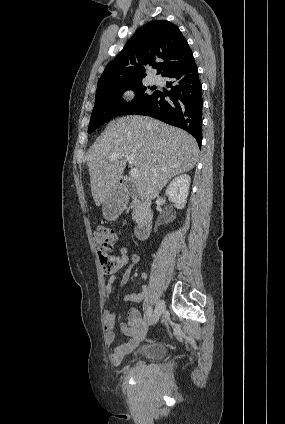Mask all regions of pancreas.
<instances>
[{
    "label": "pancreas",
    "mask_w": 285,
    "mask_h": 424,
    "mask_svg": "<svg viewBox=\"0 0 285 424\" xmlns=\"http://www.w3.org/2000/svg\"><path fill=\"white\" fill-rule=\"evenodd\" d=\"M131 207L134 208V211L132 213V218H133L134 221H137L138 216H139V209L137 207V204L136 203H132Z\"/></svg>",
    "instance_id": "1"
}]
</instances>
